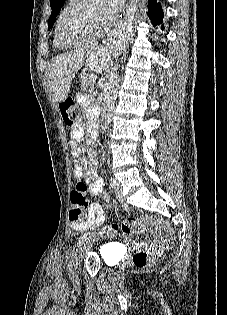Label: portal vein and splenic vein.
I'll return each mask as SVG.
<instances>
[{"label":"portal vein and splenic vein","mask_w":227,"mask_h":315,"mask_svg":"<svg viewBox=\"0 0 227 315\" xmlns=\"http://www.w3.org/2000/svg\"><path fill=\"white\" fill-rule=\"evenodd\" d=\"M96 79H97V76H96V75H92V76H91V80H90V81L95 82V81H96Z\"/></svg>","instance_id":"obj_1"}]
</instances>
